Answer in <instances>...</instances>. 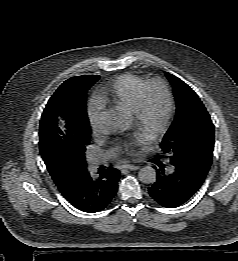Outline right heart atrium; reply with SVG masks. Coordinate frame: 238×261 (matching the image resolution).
Returning <instances> with one entry per match:
<instances>
[{
    "mask_svg": "<svg viewBox=\"0 0 238 261\" xmlns=\"http://www.w3.org/2000/svg\"><path fill=\"white\" fill-rule=\"evenodd\" d=\"M99 119H100L99 108L96 105L91 106L88 110V120L91 128L95 132L98 130Z\"/></svg>",
    "mask_w": 238,
    "mask_h": 261,
    "instance_id": "right-heart-atrium-1",
    "label": "right heart atrium"
}]
</instances>
